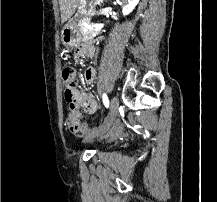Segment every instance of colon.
I'll use <instances>...</instances> for the list:
<instances>
[{
    "label": "colon",
    "mask_w": 217,
    "mask_h": 202,
    "mask_svg": "<svg viewBox=\"0 0 217 202\" xmlns=\"http://www.w3.org/2000/svg\"><path fill=\"white\" fill-rule=\"evenodd\" d=\"M62 79H63V91L65 101L68 105V108L73 112L76 111L80 106L81 102H86L85 96L82 95V90H76L74 87V82H78V77L76 72L72 71V69H61ZM74 116L67 117L66 126L70 131H74V126L77 123ZM82 122V121H81ZM81 132L86 136L91 134V129H87V124L82 122Z\"/></svg>",
    "instance_id": "colon-1"
}]
</instances>
